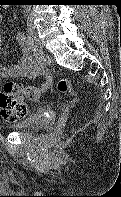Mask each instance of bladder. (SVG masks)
I'll return each mask as SVG.
<instances>
[{
	"label": "bladder",
	"instance_id": "1",
	"mask_svg": "<svg viewBox=\"0 0 121 197\" xmlns=\"http://www.w3.org/2000/svg\"><path fill=\"white\" fill-rule=\"evenodd\" d=\"M54 118L55 113L51 108L41 107L31 116L10 125V128L20 131H31L42 127L43 124L52 121Z\"/></svg>",
	"mask_w": 121,
	"mask_h": 197
}]
</instances>
